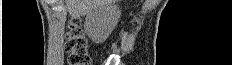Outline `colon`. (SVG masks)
Wrapping results in <instances>:
<instances>
[{
	"label": "colon",
	"mask_w": 232,
	"mask_h": 65,
	"mask_svg": "<svg viewBox=\"0 0 232 65\" xmlns=\"http://www.w3.org/2000/svg\"><path fill=\"white\" fill-rule=\"evenodd\" d=\"M65 49L69 65H91L88 43L78 18L73 19L66 33Z\"/></svg>",
	"instance_id": "1"
}]
</instances>
